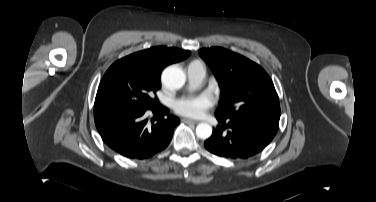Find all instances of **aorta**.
<instances>
[{"label": "aorta", "instance_id": "aorta-1", "mask_svg": "<svg viewBox=\"0 0 376 202\" xmlns=\"http://www.w3.org/2000/svg\"><path fill=\"white\" fill-rule=\"evenodd\" d=\"M186 81L184 71L178 66H169L162 72V82L170 90L180 89ZM212 134V127L207 123H200L196 127V135L200 139H208Z\"/></svg>", "mask_w": 376, "mask_h": 202}]
</instances>
